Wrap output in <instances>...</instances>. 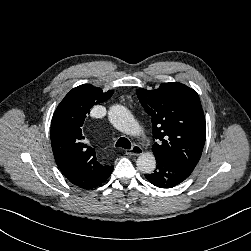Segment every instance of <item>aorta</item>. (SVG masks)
<instances>
[{
  "instance_id": "obj_1",
  "label": "aorta",
  "mask_w": 251,
  "mask_h": 251,
  "mask_svg": "<svg viewBox=\"0 0 251 251\" xmlns=\"http://www.w3.org/2000/svg\"><path fill=\"white\" fill-rule=\"evenodd\" d=\"M108 118L110 123L123 133L137 135L141 132L138 122L130 111L122 105L111 106ZM136 164L141 172L152 173L156 167L155 156L150 152L143 153L137 158Z\"/></svg>"
}]
</instances>
